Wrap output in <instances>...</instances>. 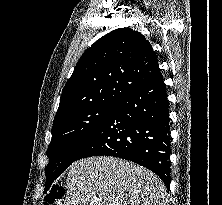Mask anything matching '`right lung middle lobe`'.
Listing matches in <instances>:
<instances>
[{"label":"right lung middle lobe","instance_id":"dd1d6c3e","mask_svg":"<svg viewBox=\"0 0 222 205\" xmlns=\"http://www.w3.org/2000/svg\"><path fill=\"white\" fill-rule=\"evenodd\" d=\"M118 103L95 104L53 123L45 185H51L76 160L80 150Z\"/></svg>","mask_w":222,"mask_h":205}]
</instances>
